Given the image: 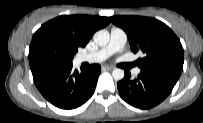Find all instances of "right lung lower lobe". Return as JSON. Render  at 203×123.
<instances>
[{
    "mask_svg": "<svg viewBox=\"0 0 203 123\" xmlns=\"http://www.w3.org/2000/svg\"><path fill=\"white\" fill-rule=\"evenodd\" d=\"M34 83L46 100L62 109H74L93 94L101 72L98 64L78 72L71 64L43 63L31 67Z\"/></svg>",
    "mask_w": 203,
    "mask_h": 123,
    "instance_id": "obj_1",
    "label": "right lung lower lobe"
}]
</instances>
